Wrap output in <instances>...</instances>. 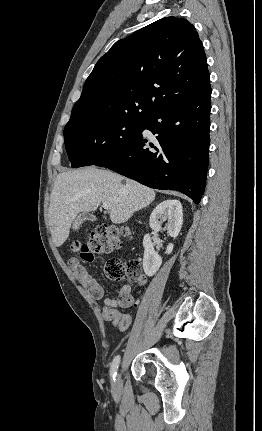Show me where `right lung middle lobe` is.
<instances>
[{"label": "right lung middle lobe", "mask_w": 262, "mask_h": 431, "mask_svg": "<svg viewBox=\"0 0 262 431\" xmlns=\"http://www.w3.org/2000/svg\"><path fill=\"white\" fill-rule=\"evenodd\" d=\"M145 119L115 117L66 126L65 147L71 167L94 165L109 157L140 131Z\"/></svg>", "instance_id": "obj_1"}]
</instances>
